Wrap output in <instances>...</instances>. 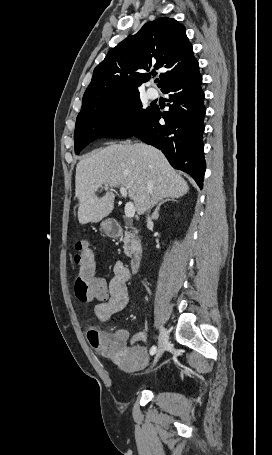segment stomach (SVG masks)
<instances>
[{
    "instance_id": "obj_1",
    "label": "stomach",
    "mask_w": 272,
    "mask_h": 455,
    "mask_svg": "<svg viewBox=\"0 0 272 455\" xmlns=\"http://www.w3.org/2000/svg\"><path fill=\"white\" fill-rule=\"evenodd\" d=\"M101 228L103 231H108L109 230V223L106 221V222H103L102 225H101Z\"/></svg>"
}]
</instances>
